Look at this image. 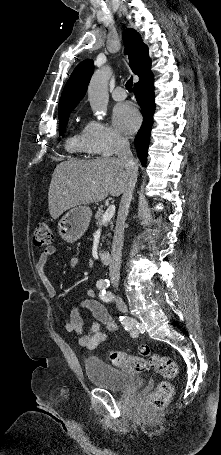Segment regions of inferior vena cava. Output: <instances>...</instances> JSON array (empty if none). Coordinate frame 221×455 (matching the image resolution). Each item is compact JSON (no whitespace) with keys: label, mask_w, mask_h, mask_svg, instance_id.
<instances>
[{"label":"inferior vena cava","mask_w":221,"mask_h":455,"mask_svg":"<svg viewBox=\"0 0 221 455\" xmlns=\"http://www.w3.org/2000/svg\"><path fill=\"white\" fill-rule=\"evenodd\" d=\"M117 143H118L117 156L125 163L128 181L119 205L116 227L112 243L109 277L113 286H118L120 279V266L124 239V224L132 199V193L137 182L138 173V166L130 151L128 139L118 137Z\"/></svg>","instance_id":"1"}]
</instances>
